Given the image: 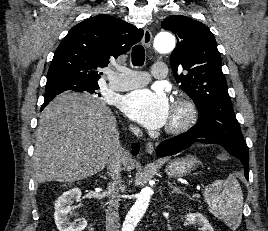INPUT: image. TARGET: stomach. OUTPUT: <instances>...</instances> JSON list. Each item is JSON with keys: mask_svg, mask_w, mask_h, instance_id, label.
Masks as SVG:
<instances>
[{"mask_svg": "<svg viewBox=\"0 0 268 231\" xmlns=\"http://www.w3.org/2000/svg\"><path fill=\"white\" fill-rule=\"evenodd\" d=\"M198 163L199 161L194 156L177 158L166 165L165 172L169 177H182L193 171Z\"/></svg>", "mask_w": 268, "mask_h": 231, "instance_id": "obj_1", "label": "stomach"}]
</instances>
